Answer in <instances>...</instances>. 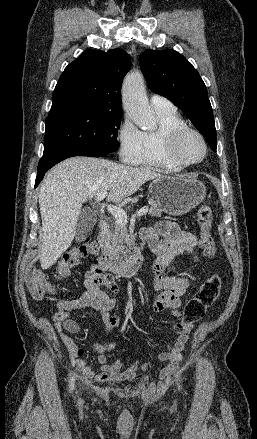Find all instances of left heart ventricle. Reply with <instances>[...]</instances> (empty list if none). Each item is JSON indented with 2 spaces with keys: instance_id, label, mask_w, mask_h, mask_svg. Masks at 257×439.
Masks as SVG:
<instances>
[{
  "instance_id": "1",
  "label": "left heart ventricle",
  "mask_w": 257,
  "mask_h": 439,
  "mask_svg": "<svg viewBox=\"0 0 257 439\" xmlns=\"http://www.w3.org/2000/svg\"><path fill=\"white\" fill-rule=\"evenodd\" d=\"M179 153L188 161H196L203 155V146L196 136L189 134L181 141Z\"/></svg>"
}]
</instances>
